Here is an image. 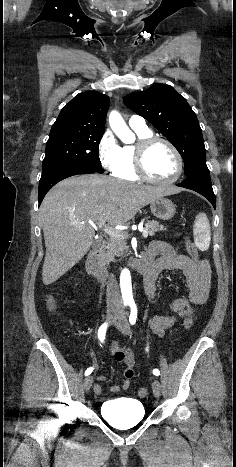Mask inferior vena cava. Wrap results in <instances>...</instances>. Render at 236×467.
<instances>
[{
	"label": "inferior vena cava",
	"instance_id": "1",
	"mask_svg": "<svg viewBox=\"0 0 236 467\" xmlns=\"http://www.w3.org/2000/svg\"><path fill=\"white\" fill-rule=\"evenodd\" d=\"M106 296L108 307H115L117 309L122 308V297L119 291L117 280L113 274H111L108 279Z\"/></svg>",
	"mask_w": 236,
	"mask_h": 467
}]
</instances>
